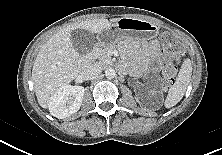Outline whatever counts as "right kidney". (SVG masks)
<instances>
[{"label":"right kidney","instance_id":"1","mask_svg":"<svg viewBox=\"0 0 222 155\" xmlns=\"http://www.w3.org/2000/svg\"><path fill=\"white\" fill-rule=\"evenodd\" d=\"M85 89L83 86L64 85L51 97L49 103L50 113L63 119L76 113L82 104Z\"/></svg>","mask_w":222,"mask_h":155}]
</instances>
